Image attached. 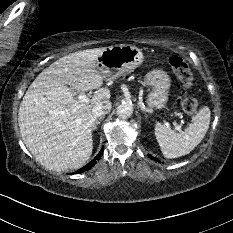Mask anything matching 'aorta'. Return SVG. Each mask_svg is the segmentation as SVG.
I'll use <instances>...</instances> for the list:
<instances>
[{
	"label": "aorta",
	"instance_id": "762f6f07",
	"mask_svg": "<svg viewBox=\"0 0 233 233\" xmlns=\"http://www.w3.org/2000/svg\"><path fill=\"white\" fill-rule=\"evenodd\" d=\"M133 113V107L130 103H122L117 107V115L120 118H128Z\"/></svg>",
	"mask_w": 233,
	"mask_h": 233
}]
</instances>
